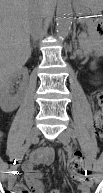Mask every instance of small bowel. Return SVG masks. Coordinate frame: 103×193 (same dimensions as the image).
<instances>
[{
  "instance_id": "obj_1",
  "label": "small bowel",
  "mask_w": 103,
  "mask_h": 193,
  "mask_svg": "<svg viewBox=\"0 0 103 193\" xmlns=\"http://www.w3.org/2000/svg\"><path fill=\"white\" fill-rule=\"evenodd\" d=\"M54 152L50 148H42L36 151L32 157L23 163L22 171L24 175V179L30 189L28 191L26 187L22 184H17L13 188L12 193H23L22 190H17L18 188H25L28 193H45V188L43 183L41 182L42 173L38 170H35V165L38 164H50L53 161ZM88 175V173H87ZM75 180L79 181L78 192L77 193H89L88 188V177L83 175H78L74 177ZM49 193H63L62 190H51Z\"/></svg>"
}]
</instances>
